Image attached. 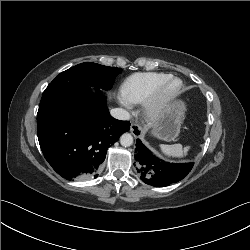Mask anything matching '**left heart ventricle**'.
I'll return each mask as SVG.
<instances>
[{"instance_id":"obj_1","label":"left heart ventricle","mask_w":250,"mask_h":250,"mask_svg":"<svg viewBox=\"0 0 250 250\" xmlns=\"http://www.w3.org/2000/svg\"><path fill=\"white\" fill-rule=\"evenodd\" d=\"M177 86V83H173L171 88H175Z\"/></svg>"}]
</instances>
